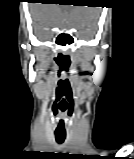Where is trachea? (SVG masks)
Segmentation results:
<instances>
[{"mask_svg": "<svg viewBox=\"0 0 134 159\" xmlns=\"http://www.w3.org/2000/svg\"><path fill=\"white\" fill-rule=\"evenodd\" d=\"M66 138L65 133H55V139L58 144H62Z\"/></svg>", "mask_w": 134, "mask_h": 159, "instance_id": "3493384b", "label": "trachea"}]
</instances>
